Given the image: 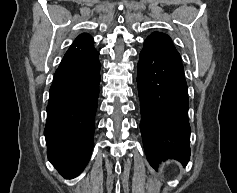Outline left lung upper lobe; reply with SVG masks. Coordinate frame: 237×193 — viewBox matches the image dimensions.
<instances>
[{
    "instance_id": "1",
    "label": "left lung upper lobe",
    "mask_w": 237,
    "mask_h": 193,
    "mask_svg": "<svg viewBox=\"0 0 237 193\" xmlns=\"http://www.w3.org/2000/svg\"><path fill=\"white\" fill-rule=\"evenodd\" d=\"M147 40L153 41L161 46H165L167 48H170L174 51H177L170 39V37L164 33L161 32H153L147 37ZM178 52V51H177Z\"/></svg>"
}]
</instances>
